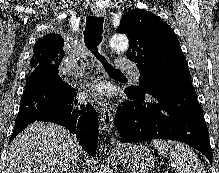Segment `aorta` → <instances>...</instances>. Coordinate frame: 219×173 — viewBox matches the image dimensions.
<instances>
[{"label": "aorta", "mask_w": 219, "mask_h": 173, "mask_svg": "<svg viewBox=\"0 0 219 173\" xmlns=\"http://www.w3.org/2000/svg\"><path fill=\"white\" fill-rule=\"evenodd\" d=\"M109 47L118 52H126L129 47V40L124 34H115L109 41ZM98 173H113V170L109 166L102 165Z\"/></svg>", "instance_id": "obj_1"}]
</instances>
